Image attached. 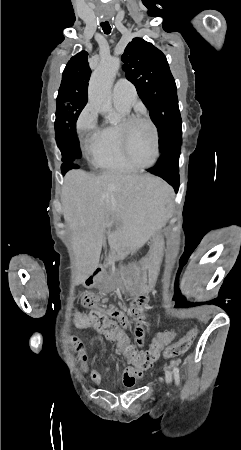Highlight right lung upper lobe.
<instances>
[{"instance_id": "cb5924a9", "label": "right lung upper lobe", "mask_w": 241, "mask_h": 450, "mask_svg": "<svg viewBox=\"0 0 241 450\" xmlns=\"http://www.w3.org/2000/svg\"><path fill=\"white\" fill-rule=\"evenodd\" d=\"M90 74L91 70L88 65V53L86 51H81L73 56L67 63L63 71L62 82L89 78Z\"/></svg>"}]
</instances>
